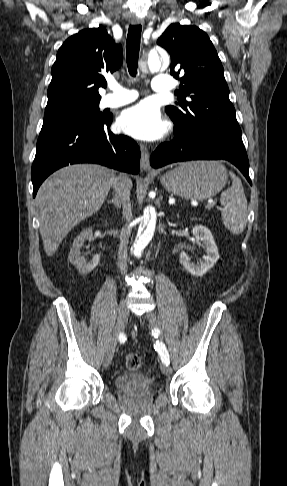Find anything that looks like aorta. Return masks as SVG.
<instances>
[{
    "label": "aorta",
    "instance_id": "obj_1",
    "mask_svg": "<svg viewBox=\"0 0 287 486\" xmlns=\"http://www.w3.org/2000/svg\"><path fill=\"white\" fill-rule=\"evenodd\" d=\"M168 62V56H160L156 52H151L147 59L148 67L151 71H157L162 66H167ZM156 219L157 213L154 208L151 207L150 209L144 210L138 233L131 249L135 256H140L144 248L152 240L156 227Z\"/></svg>",
    "mask_w": 287,
    "mask_h": 486
}]
</instances>
